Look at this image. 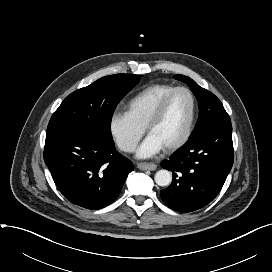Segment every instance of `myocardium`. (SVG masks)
Returning a JSON list of instances; mask_svg holds the SVG:
<instances>
[{
	"label": "myocardium",
	"mask_w": 272,
	"mask_h": 272,
	"mask_svg": "<svg viewBox=\"0 0 272 272\" xmlns=\"http://www.w3.org/2000/svg\"><path fill=\"white\" fill-rule=\"evenodd\" d=\"M179 92H185L190 97L191 103H192L191 116H190L187 128L184 134L182 135V137L175 143L164 148L167 152L176 151L182 146H184L187 143V141L190 139L194 131L196 121H197V115H198V103L194 93L187 87L181 86V87L174 88L172 91L166 94L162 98V100L159 102V104L156 106L150 118L148 119V122L145 127L147 132H150L151 128L162 118L170 100L173 98L175 94Z\"/></svg>",
	"instance_id": "myocardium-1"
}]
</instances>
